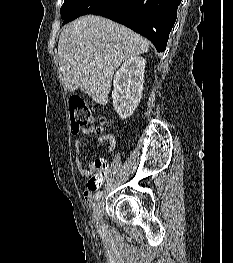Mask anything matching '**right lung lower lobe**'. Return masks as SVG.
<instances>
[{"label": "right lung lower lobe", "mask_w": 233, "mask_h": 263, "mask_svg": "<svg viewBox=\"0 0 233 263\" xmlns=\"http://www.w3.org/2000/svg\"><path fill=\"white\" fill-rule=\"evenodd\" d=\"M181 0H122L113 11L101 15L148 38L158 52L166 49Z\"/></svg>", "instance_id": "obj_1"}]
</instances>
